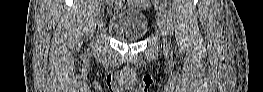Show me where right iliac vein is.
I'll return each mask as SVG.
<instances>
[{"mask_svg":"<svg viewBox=\"0 0 263 92\" xmlns=\"http://www.w3.org/2000/svg\"><path fill=\"white\" fill-rule=\"evenodd\" d=\"M98 7L96 9V16L100 19L103 15V6H105V1L98 2ZM103 25L100 24V28L102 29Z\"/></svg>","mask_w":263,"mask_h":92,"instance_id":"right-iliac-vein-1","label":"right iliac vein"}]
</instances>
